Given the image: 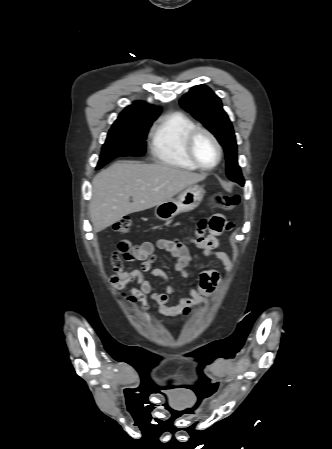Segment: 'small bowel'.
<instances>
[{"label": "small bowel", "mask_w": 332, "mask_h": 449, "mask_svg": "<svg viewBox=\"0 0 332 449\" xmlns=\"http://www.w3.org/2000/svg\"><path fill=\"white\" fill-rule=\"evenodd\" d=\"M233 224L223 215L217 214L211 219H201L195 230V246L200 250L198 254H191L188 247L178 239H160L155 244L143 242L131 245L135 259L141 260L139 269L113 266L110 284L116 289H124L129 283L135 286L130 289L131 295L141 303L143 309H148L147 297L150 296L157 304L158 310L164 315L189 314L194 308L204 305L207 299L215 293L221 283V275L215 269L202 271L197 278L196 285L182 294L175 305H168L174 287L165 270L154 268L158 259L157 249L163 250L164 257L173 262L175 270L184 280L189 278L190 265L200 257H213L224 267L226 273L231 272L233 262L228 253L218 250L219 236L229 232ZM149 276L160 279L165 286V292L155 289Z\"/></svg>", "instance_id": "small-bowel-1"}]
</instances>
